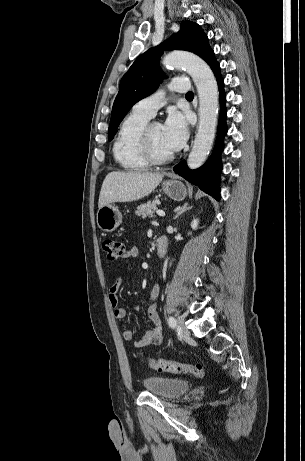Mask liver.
I'll list each match as a JSON object with an SVG mask.
<instances>
[{
	"label": "liver",
	"instance_id": "liver-1",
	"mask_svg": "<svg viewBox=\"0 0 305 461\" xmlns=\"http://www.w3.org/2000/svg\"><path fill=\"white\" fill-rule=\"evenodd\" d=\"M163 174L150 172H110L105 177L98 207L113 202H131L149 195L162 181Z\"/></svg>",
	"mask_w": 305,
	"mask_h": 461
}]
</instances>
